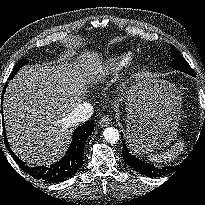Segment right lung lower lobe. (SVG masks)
Returning a JSON list of instances; mask_svg holds the SVG:
<instances>
[{"label": "right lung lower lobe", "instance_id": "98d812e1", "mask_svg": "<svg viewBox=\"0 0 205 205\" xmlns=\"http://www.w3.org/2000/svg\"><path fill=\"white\" fill-rule=\"evenodd\" d=\"M6 86L7 84L5 85V87ZM4 90L2 93V98ZM93 130V120L78 127L73 133L72 142L65 156L57 163L52 164L50 167L40 166L30 168L15 156V154L10 149L6 136L5 145L8 151L10 152L11 156L13 157L14 161L22 168V170L27 172L29 175L52 183H59L74 175L77 172V170L82 166L85 143L87 138L93 132Z\"/></svg>", "mask_w": 205, "mask_h": 205}]
</instances>
